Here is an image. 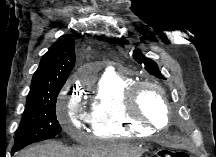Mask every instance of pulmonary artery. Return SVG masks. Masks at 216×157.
Here are the masks:
<instances>
[{"instance_id": "e3ab8cb5", "label": "pulmonary artery", "mask_w": 216, "mask_h": 157, "mask_svg": "<svg viewBox=\"0 0 216 157\" xmlns=\"http://www.w3.org/2000/svg\"><path fill=\"white\" fill-rule=\"evenodd\" d=\"M110 72H112V70H110V69H107V72H106V73H110Z\"/></svg>"}]
</instances>
